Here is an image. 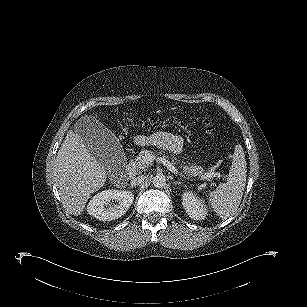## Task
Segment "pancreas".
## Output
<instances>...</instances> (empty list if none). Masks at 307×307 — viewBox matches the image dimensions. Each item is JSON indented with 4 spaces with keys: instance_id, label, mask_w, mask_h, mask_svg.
Masks as SVG:
<instances>
[{
    "instance_id": "obj_1",
    "label": "pancreas",
    "mask_w": 307,
    "mask_h": 307,
    "mask_svg": "<svg viewBox=\"0 0 307 307\" xmlns=\"http://www.w3.org/2000/svg\"><path fill=\"white\" fill-rule=\"evenodd\" d=\"M150 152H142L140 153L137 158L135 159L136 166L138 169H145L147 167L146 162L144 161L145 155L149 154ZM177 159L172 158V164H176ZM179 167L182 169L183 173H185L187 176H201L204 174V169L199 166H190L185 163H181Z\"/></svg>"
}]
</instances>
